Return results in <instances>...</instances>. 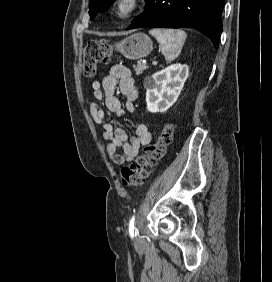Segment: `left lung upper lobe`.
<instances>
[{
    "label": "left lung upper lobe",
    "mask_w": 272,
    "mask_h": 282,
    "mask_svg": "<svg viewBox=\"0 0 272 282\" xmlns=\"http://www.w3.org/2000/svg\"><path fill=\"white\" fill-rule=\"evenodd\" d=\"M115 0H91L89 4V14L91 19H94L95 15L107 10Z\"/></svg>",
    "instance_id": "1"
}]
</instances>
